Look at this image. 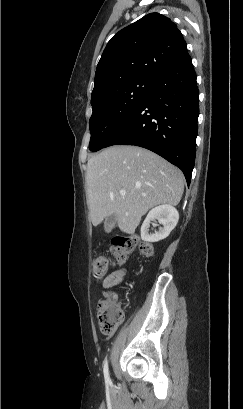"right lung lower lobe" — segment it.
Masks as SVG:
<instances>
[{"label":"right lung lower lobe","mask_w":243,"mask_h":409,"mask_svg":"<svg viewBox=\"0 0 243 409\" xmlns=\"http://www.w3.org/2000/svg\"><path fill=\"white\" fill-rule=\"evenodd\" d=\"M198 100L196 73L186 52L155 81L106 147L128 144L149 149L178 166L189 185L195 162Z\"/></svg>","instance_id":"obj_1"}]
</instances>
